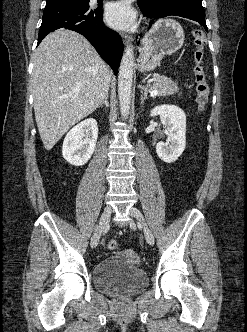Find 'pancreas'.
Returning <instances> with one entry per match:
<instances>
[{"instance_id": "1", "label": "pancreas", "mask_w": 247, "mask_h": 332, "mask_svg": "<svg viewBox=\"0 0 247 332\" xmlns=\"http://www.w3.org/2000/svg\"><path fill=\"white\" fill-rule=\"evenodd\" d=\"M145 92L157 90L158 96H169L178 93L177 83L165 76L156 75L152 86H143Z\"/></svg>"}]
</instances>
